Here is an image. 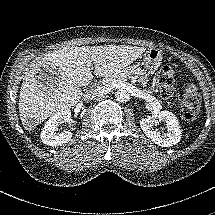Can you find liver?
I'll list each match as a JSON object with an SVG mask.
<instances>
[{
  "label": "liver",
  "mask_w": 215,
  "mask_h": 215,
  "mask_svg": "<svg viewBox=\"0 0 215 215\" xmlns=\"http://www.w3.org/2000/svg\"><path fill=\"white\" fill-rule=\"evenodd\" d=\"M146 51L126 45L65 46L31 63L19 92L18 109L25 130L32 131L47 118L75 106L94 75L108 76L130 65ZM41 68L55 76L41 73ZM46 80V82H45Z\"/></svg>",
  "instance_id": "6515ba94"
}]
</instances>
